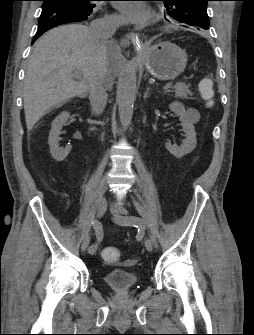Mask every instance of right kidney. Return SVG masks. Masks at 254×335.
I'll use <instances>...</instances> for the list:
<instances>
[{
    "instance_id": "1",
    "label": "right kidney",
    "mask_w": 254,
    "mask_h": 335,
    "mask_svg": "<svg viewBox=\"0 0 254 335\" xmlns=\"http://www.w3.org/2000/svg\"><path fill=\"white\" fill-rule=\"evenodd\" d=\"M70 114L68 112H62L52 122L51 131L48 137V143L50 146V153L56 161H63L71 151V146L67 145L65 148L59 147L60 133L62 127L66 124Z\"/></svg>"
}]
</instances>
